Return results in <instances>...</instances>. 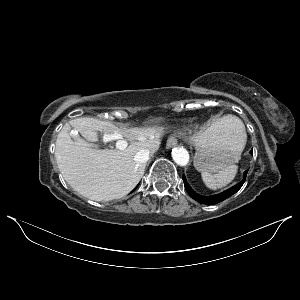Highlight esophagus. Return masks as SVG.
Segmentation results:
<instances>
[{
    "label": "esophagus",
    "instance_id": "1",
    "mask_svg": "<svg viewBox=\"0 0 300 300\" xmlns=\"http://www.w3.org/2000/svg\"><path fill=\"white\" fill-rule=\"evenodd\" d=\"M177 144V139L174 136H170L167 140L166 146L167 148H172L174 146H176Z\"/></svg>",
    "mask_w": 300,
    "mask_h": 300
}]
</instances>
